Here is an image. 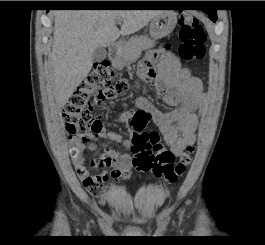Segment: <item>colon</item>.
Listing matches in <instances>:
<instances>
[{"instance_id": "colon-1", "label": "colon", "mask_w": 265, "mask_h": 245, "mask_svg": "<svg viewBox=\"0 0 265 245\" xmlns=\"http://www.w3.org/2000/svg\"><path fill=\"white\" fill-rule=\"evenodd\" d=\"M178 26L180 57L186 61L204 58L206 35L198 19L181 12ZM139 75L145 81L156 77L155 72L146 64L140 65ZM128 88L126 79H115L109 60L96 62L63 107L62 115L69 141L81 143L89 132L98 133L102 125L93 115L95 106L115 99ZM148 121L149 116L143 110L136 111L130 120L133 134L132 164L139 172L153 173L157 177H163L168 183H177L192 163L194 146H188L176 161V156L161 142L160 136L146 129ZM82 152L81 146H78L72 149L71 156L76 158Z\"/></svg>"}]
</instances>
